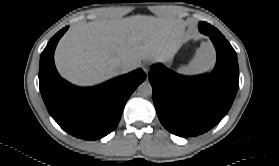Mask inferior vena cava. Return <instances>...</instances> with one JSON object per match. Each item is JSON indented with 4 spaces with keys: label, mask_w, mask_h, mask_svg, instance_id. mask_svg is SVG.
<instances>
[{
    "label": "inferior vena cava",
    "mask_w": 279,
    "mask_h": 166,
    "mask_svg": "<svg viewBox=\"0 0 279 166\" xmlns=\"http://www.w3.org/2000/svg\"><path fill=\"white\" fill-rule=\"evenodd\" d=\"M137 67L138 66L134 63H125L119 68V72L121 74H124V73L130 72V71L136 69Z\"/></svg>",
    "instance_id": "obj_1"
}]
</instances>
